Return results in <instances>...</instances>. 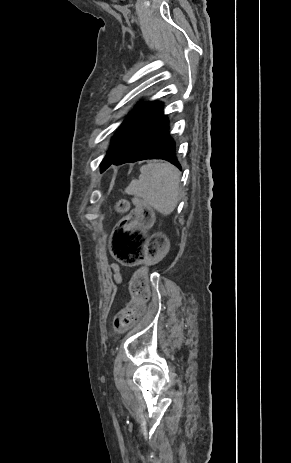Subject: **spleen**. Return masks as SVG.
Listing matches in <instances>:
<instances>
[{
	"mask_svg": "<svg viewBox=\"0 0 291 463\" xmlns=\"http://www.w3.org/2000/svg\"><path fill=\"white\" fill-rule=\"evenodd\" d=\"M138 179H133L125 193L141 197L162 215H170L176 208L180 194V172L169 163L150 162L140 168Z\"/></svg>",
	"mask_w": 291,
	"mask_h": 463,
	"instance_id": "obj_1",
	"label": "spleen"
}]
</instances>
